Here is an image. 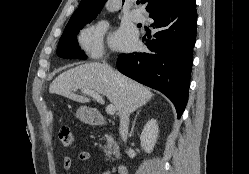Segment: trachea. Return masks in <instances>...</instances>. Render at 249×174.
Segmentation results:
<instances>
[{
    "instance_id": "1",
    "label": "trachea",
    "mask_w": 249,
    "mask_h": 174,
    "mask_svg": "<svg viewBox=\"0 0 249 174\" xmlns=\"http://www.w3.org/2000/svg\"><path fill=\"white\" fill-rule=\"evenodd\" d=\"M140 3V1H137V4H139Z\"/></svg>"
}]
</instances>
